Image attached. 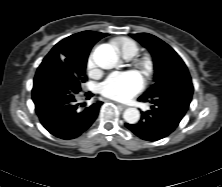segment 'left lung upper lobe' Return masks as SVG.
Returning <instances> with one entry per match:
<instances>
[{"label": "left lung upper lobe", "mask_w": 222, "mask_h": 187, "mask_svg": "<svg viewBox=\"0 0 222 187\" xmlns=\"http://www.w3.org/2000/svg\"><path fill=\"white\" fill-rule=\"evenodd\" d=\"M145 46L156 64L154 84L142 95L155 97L163 91H171L170 99L180 96L181 85L192 83L188 69L180 56L164 41L148 33L131 34Z\"/></svg>", "instance_id": "obj_1"}]
</instances>
